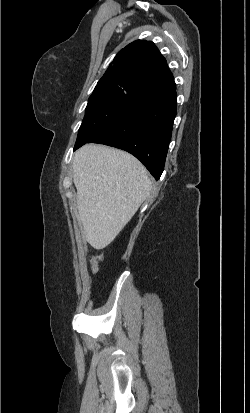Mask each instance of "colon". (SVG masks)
I'll use <instances>...</instances> for the list:
<instances>
[{
  "mask_svg": "<svg viewBox=\"0 0 250 413\" xmlns=\"http://www.w3.org/2000/svg\"><path fill=\"white\" fill-rule=\"evenodd\" d=\"M100 260H101V256H96V257H94V258L92 259L91 264H92V269H93L94 271H96L98 262H99Z\"/></svg>",
  "mask_w": 250,
  "mask_h": 413,
  "instance_id": "5ec220e1",
  "label": "colon"
}]
</instances>
